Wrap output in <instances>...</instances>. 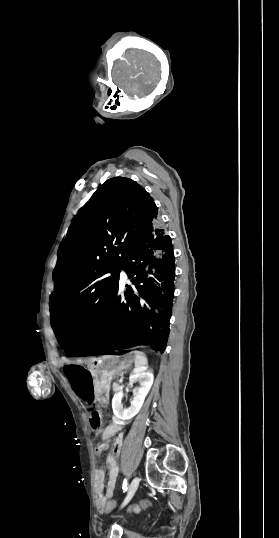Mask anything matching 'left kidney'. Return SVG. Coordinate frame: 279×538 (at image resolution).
<instances>
[{
	"mask_svg": "<svg viewBox=\"0 0 279 538\" xmlns=\"http://www.w3.org/2000/svg\"><path fill=\"white\" fill-rule=\"evenodd\" d=\"M134 382H139L140 388H134L133 390V400L130 402L129 408H123L121 400L123 398V392H117L114 394L112 400V410L120 420H131L136 414H138L140 408L144 404V400L154 382V376L152 372L146 370V368H136L133 374L129 376V384H134Z\"/></svg>",
	"mask_w": 279,
	"mask_h": 538,
	"instance_id": "5707ae66",
	"label": "left kidney"
}]
</instances>
